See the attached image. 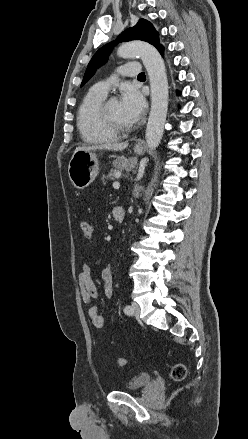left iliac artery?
<instances>
[{
    "label": "left iliac artery",
    "instance_id": "44dca946",
    "mask_svg": "<svg viewBox=\"0 0 248 439\" xmlns=\"http://www.w3.org/2000/svg\"><path fill=\"white\" fill-rule=\"evenodd\" d=\"M124 312H125V314H127V315H131V314H132V307H131L130 305H126V306L124 307Z\"/></svg>",
    "mask_w": 248,
    "mask_h": 439
}]
</instances>
